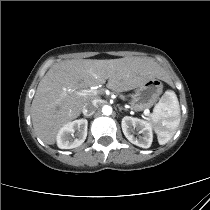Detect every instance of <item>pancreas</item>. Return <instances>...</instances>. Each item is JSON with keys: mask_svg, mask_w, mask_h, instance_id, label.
Masks as SVG:
<instances>
[{"mask_svg": "<svg viewBox=\"0 0 210 210\" xmlns=\"http://www.w3.org/2000/svg\"><path fill=\"white\" fill-rule=\"evenodd\" d=\"M121 98H122V99H125V96L121 95Z\"/></svg>", "mask_w": 210, "mask_h": 210, "instance_id": "cf45deb5", "label": "pancreas"}]
</instances>
